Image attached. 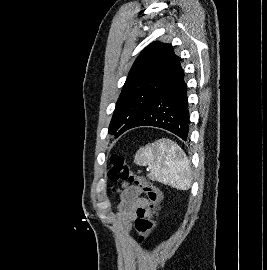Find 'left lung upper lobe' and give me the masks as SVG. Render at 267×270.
Instances as JSON below:
<instances>
[{"label":"left lung upper lobe","mask_w":267,"mask_h":270,"mask_svg":"<svg viewBox=\"0 0 267 270\" xmlns=\"http://www.w3.org/2000/svg\"><path fill=\"white\" fill-rule=\"evenodd\" d=\"M178 61L173 47L159 41L140 53L116 103L110 133L119 136L131 127L169 81Z\"/></svg>","instance_id":"5c2ea615"}]
</instances>
